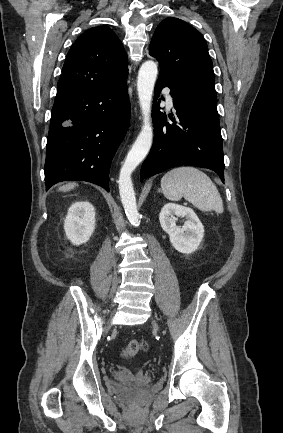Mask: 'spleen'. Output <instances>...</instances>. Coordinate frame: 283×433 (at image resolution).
I'll return each mask as SVG.
<instances>
[{"mask_svg":"<svg viewBox=\"0 0 283 433\" xmlns=\"http://www.w3.org/2000/svg\"><path fill=\"white\" fill-rule=\"evenodd\" d=\"M161 188L169 200H180L184 196L199 210H224L220 192L214 182L194 166H179L169 170L161 178Z\"/></svg>","mask_w":283,"mask_h":433,"instance_id":"3e777b00","label":"spleen"}]
</instances>
